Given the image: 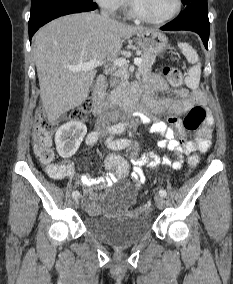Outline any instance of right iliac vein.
I'll list each match as a JSON object with an SVG mask.
<instances>
[{
  "instance_id": "63e3f726",
  "label": "right iliac vein",
  "mask_w": 233,
  "mask_h": 284,
  "mask_svg": "<svg viewBox=\"0 0 233 284\" xmlns=\"http://www.w3.org/2000/svg\"><path fill=\"white\" fill-rule=\"evenodd\" d=\"M79 202H80L79 197L74 198V206H75L76 208L79 206Z\"/></svg>"
}]
</instances>
